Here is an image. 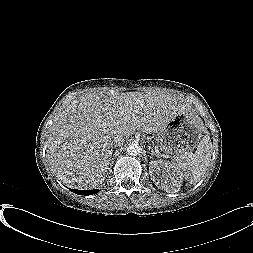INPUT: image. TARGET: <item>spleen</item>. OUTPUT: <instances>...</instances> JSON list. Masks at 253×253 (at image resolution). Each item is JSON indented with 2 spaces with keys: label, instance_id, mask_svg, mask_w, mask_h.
Returning a JSON list of instances; mask_svg holds the SVG:
<instances>
[{
  "label": "spleen",
  "instance_id": "1",
  "mask_svg": "<svg viewBox=\"0 0 253 253\" xmlns=\"http://www.w3.org/2000/svg\"><path fill=\"white\" fill-rule=\"evenodd\" d=\"M204 133L206 134L196 152L188 157L184 155L175 158L171 166L181 175H184L190 183L197 182L206 173L211 160L212 143L208 131L201 122Z\"/></svg>",
  "mask_w": 253,
  "mask_h": 253
}]
</instances>
